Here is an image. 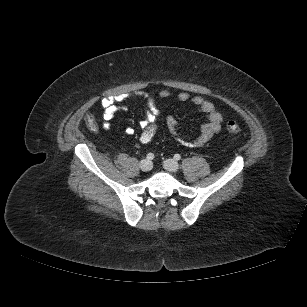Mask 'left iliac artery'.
Listing matches in <instances>:
<instances>
[{
	"mask_svg": "<svg viewBox=\"0 0 307 307\" xmlns=\"http://www.w3.org/2000/svg\"><path fill=\"white\" fill-rule=\"evenodd\" d=\"M174 159L178 161V160L181 159V156H180L179 154H175V155H174Z\"/></svg>",
	"mask_w": 307,
	"mask_h": 307,
	"instance_id": "44dca946",
	"label": "left iliac artery"
}]
</instances>
